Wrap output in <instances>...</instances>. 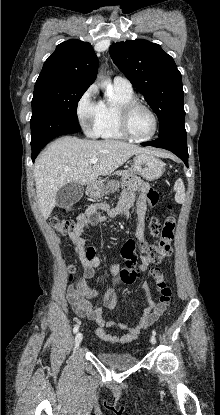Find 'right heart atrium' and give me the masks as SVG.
Segmentation results:
<instances>
[{
	"mask_svg": "<svg viewBox=\"0 0 220 415\" xmlns=\"http://www.w3.org/2000/svg\"><path fill=\"white\" fill-rule=\"evenodd\" d=\"M96 89L91 86L80 98L77 105L79 123L89 136H97V126L101 114V104L95 100Z\"/></svg>",
	"mask_w": 220,
	"mask_h": 415,
	"instance_id": "right-heart-atrium-1",
	"label": "right heart atrium"
}]
</instances>
